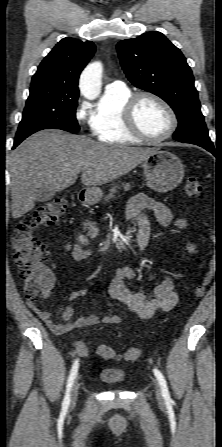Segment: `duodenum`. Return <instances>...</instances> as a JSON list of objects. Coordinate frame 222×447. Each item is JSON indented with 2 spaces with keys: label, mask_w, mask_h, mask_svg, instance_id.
<instances>
[{
  "label": "duodenum",
  "mask_w": 222,
  "mask_h": 447,
  "mask_svg": "<svg viewBox=\"0 0 222 447\" xmlns=\"http://www.w3.org/2000/svg\"><path fill=\"white\" fill-rule=\"evenodd\" d=\"M82 202L85 204H89L91 202L92 196L88 193H83L81 196ZM77 240L78 242H80L81 244H85L88 241V238L86 236V234L82 231H79L77 233Z\"/></svg>",
  "instance_id": "duodenum-1"
}]
</instances>
